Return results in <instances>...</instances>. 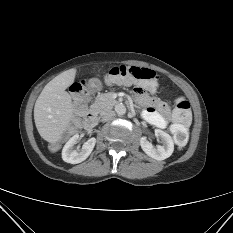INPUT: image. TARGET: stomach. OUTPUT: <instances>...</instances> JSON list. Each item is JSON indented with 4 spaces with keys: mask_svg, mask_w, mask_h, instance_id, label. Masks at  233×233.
<instances>
[{
    "mask_svg": "<svg viewBox=\"0 0 233 233\" xmlns=\"http://www.w3.org/2000/svg\"><path fill=\"white\" fill-rule=\"evenodd\" d=\"M89 88L92 90H100L102 88V83L97 78H92L89 80Z\"/></svg>",
    "mask_w": 233,
    "mask_h": 233,
    "instance_id": "stomach-1",
    "label": "stomach"
}]
</instances>
